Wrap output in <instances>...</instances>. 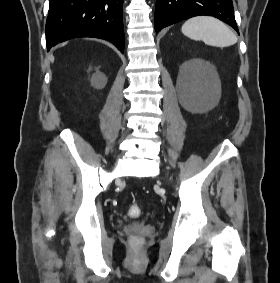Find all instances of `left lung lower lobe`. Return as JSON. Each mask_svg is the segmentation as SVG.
<instances>
[{
    "instance_id": "0a47b994",
    "label": "left lung lower lobe",
    "mask_w": 280,
    "mask_h": 283,
    "mask_svg": "<svg viewBox=\"0 0 280 283\" xmlns=\"http://www.w3.org/2000/svg\"><path fill=\"white\" fill-rule=\"evenodd\" d=\"M199 15L216 17L239 34L232 0H157L155 30L158 32L166 26Z\"/></svg>"
}]
</instances>
